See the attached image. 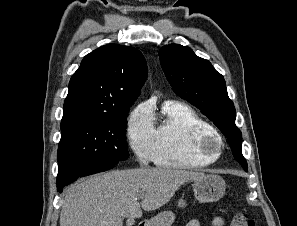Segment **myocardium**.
Segmentation results:
<instances>
[{"label": "myocardium", "mask_w": 297, "mask_h": 226, "mask_svg": "<svg viewBox=\"0 0 297 226\" xmlns=\"http://www.w3.org/2000/svg\"><path fill=\"white\" fill-rule=\"evenodd\" d=\"M222 145V138L215 130L201 133L194 141V148L199 154L211 157L217 156Z\"/></svg>", "instance_id": "obj_1"}]
</instances>
